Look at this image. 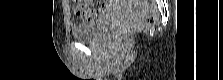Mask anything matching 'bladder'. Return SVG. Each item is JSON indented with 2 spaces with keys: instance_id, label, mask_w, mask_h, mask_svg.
I'll return each instance as SVG.
<instances>
[{
  "instance_id": "1",
  "label": "bladder",
  "mask_w": 223,
  "mask_h": 80,
  "mask_svg": "<svg viewBox=\"0 0 223 80\" xmlns=\"http://www.w3.org/2000/svg\"><path fill=\"white\" fill-rule=\"evenodd\" d=\"M113 10L114 8H110L96 20L74 24L71 27L73 38L86 42L98 40L103 30L104 22L113 14Z\"/></svg>"
}]
</instances>
